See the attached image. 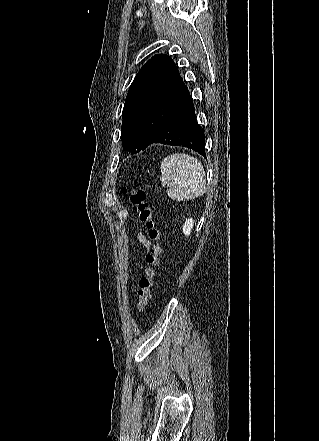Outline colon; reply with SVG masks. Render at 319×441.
Segmentation results:
<instances>
[{
  "label": "colon",
  "instance_id": "obj_1",
  "mask_svg": "<svg viewBox=\"0 0 319 441\" xmlns=\"http://www.w3.org/2000/svg\"><path fill=\"white\" fill-rule=\"evenodd\" d=\"M122 192H129L130 201L136 209L138 220L146 226L149 237L153 241V246L146 256L149 267L139 281V299L136 310L137 312H142L152 297V287L157 275V266L160 263V257L162 255V247L160 245L161 231L157 226L153 209L147 199L146 192L134 189L127 191L125 188H122Z\"/></svg>",
  "mask_w": 319,
  "mask_h": 441
}]
</instances>
